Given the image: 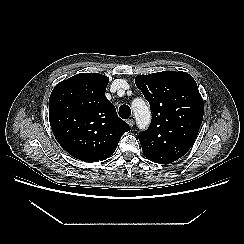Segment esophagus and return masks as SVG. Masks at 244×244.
Listing matches in <instances>:
<instances>
[{"label": "esophagus", "instance_id": "esophagus-1", "mask_svg": "<svg viewBox=\"0 0 244 244\" xmlns=\"http://www.w3.org/2000/svg\"><path fill=\"white\" fill-rule=\"evenodd\" d=\"M127 124L130 126V127H133L134 125V120L133 119H127Z\"/></svg>", "mask_w": 244, "mask_h": 244}]
</instances>
